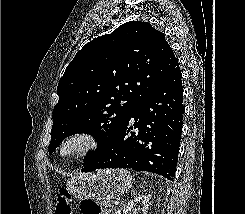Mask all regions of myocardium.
Masks as SVG:
<instances>
[{"label": "myocardium", "instance_id": "1", "mask_svg": "<svg viewBox=\"0 0 245 214\" xmlns=\"http://www.w3.org/2000/svg\"><path fill=\"white\" fill-rule=\"evenodd\" d=\"M99 144L98 137L85 130L73 132L66 136L57 148V154L64 159L84 156L93 151Z\"/></svg>", "mask_w": 245, "mask_h": 214}]
</instances>
